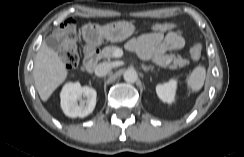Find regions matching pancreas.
<instances>
[{
    "label": "pancreas",
    "mask_w": 244,
    "mask_h": 157,
    "mask_svg": "<svg viewBox=\"0 0 244 157\" xmlns=\"http://www.w3.org/2000/svg\"><path fill=\"white\" fill-rule=\"evenodd\" d=\"M119 47L117 46H106L103 48L101 52V56L104 58H107L108 60L110 58H113V53L115 52L116 49ZM152 62L155 64L161 66V67H167L169 66L172 69H175L176 67H183L185 65L189 64V61L186 59H183L180 55L177 57L174 54L170 55H161V54H154L152 57ZM172 63V65H170Z\"/></svg>",
    "instance_id": "pancreas-1"
}]
</instances>
